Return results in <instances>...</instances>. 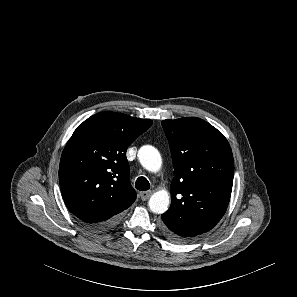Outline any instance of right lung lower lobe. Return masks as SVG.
<instances>
[{
	"instance_id": "right-lung-lower-lobe-1",
	"label": "right lung lower lobe",
	"mask_w": 297,
	"mask_h": 297,
	"mask_svg": "<svg viewBox=\"0 0 297 297\" xmlns=\"http://www.w3.org/2000/svg\"><path fill=\"white\" fill-rule=\"evenodd\" d=\"M121 215L118 214L102 223L89 225V227L96 231H105L115 227L120 221Z\"/></svg>"
}]
</instances>
